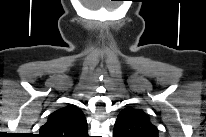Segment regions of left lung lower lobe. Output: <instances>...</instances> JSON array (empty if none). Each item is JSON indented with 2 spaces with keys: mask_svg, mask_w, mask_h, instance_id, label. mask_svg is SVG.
I'll return each mask as SVG.
<instances>
[{
  "mask_svg": "<svg viewBox=\"0 0 206 137\" xmlns=\"http://www.w3.org/2000/svg\"><path fill=\"white\" fill-rule=\"evenodd\" d=\"M114 135H118V134L114 132ZM118 136H119V135H118Z\"/></svg>",
  "mask_w": 206,
  "mask_h": 137,
  "instance_id": "0a47b994",
  "label": "left lung lower lobe"
}]
</instances>
